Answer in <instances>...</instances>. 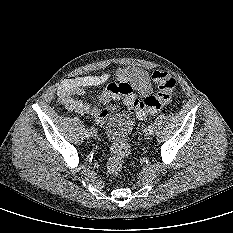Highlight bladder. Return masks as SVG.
<instances>
[{
    "instance_id": "bladder-1",
    "label": "bladder",
    "mask_w": 233,
    "mask_h": 233,
    "mask_svg": "<svg viewBox=\"0 0 233 233\" xmlns=\"http://www.w3.org/2000/svg\"><path fill=\"white\" fill-rule=\"evenodd\" d=\"M134 127V119L128 112L119 109H111L105 120V131L110 139L121 140L128 137Z\"/></svg>"
}]
</instances>
